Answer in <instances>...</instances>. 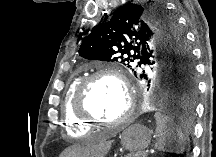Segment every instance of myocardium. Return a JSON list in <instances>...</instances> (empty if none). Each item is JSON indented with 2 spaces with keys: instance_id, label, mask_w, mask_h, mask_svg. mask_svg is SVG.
Returning <instances> with one entry per match:
<instances>
[{
  "instance_id": "obj_1",
  "label": "myocardium",
  "mask_w": 216,
  "mask_h": 157,
  "mask_svg": "<svg viewBox=\"0 0 216 157\" xmlns=\"http://www.w3.org/2000/svg\"><path fill=\"white\" fill-rule=\"evenodd\" d=\"M109 77L116 81L123 89L126 100L127 108L120 118L114 122H105L95 117L88 109L87 98L89 94L90 85L99 78ZM73 111L77 118L84 121L88 125H102L106 127H121L126 125L132 119L135 112V100L133 92L125 79V77L116 70L102 69L89 76L81 79L73 97Z\"/></svg>"
}]
</instances>
